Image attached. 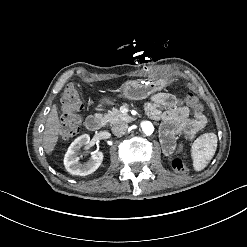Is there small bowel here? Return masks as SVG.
Wrapping results in <instances>:
<instances>
[{"label": "small bowel", "instance_id": "1", "mask_svg": "<svg viewBox=\"0 0 247 247\" xmlns=\"http://www.w3.org/2000/svg\"><path fill=\"white\" fill-rule=\"evenodd\" d=\"M145 109L151 119L163 120L161 137L164 151L168 155L174 148L176 134L181 133L191 140L205 124L202 113H191L182 99L170 93L160 92L152 95Z\"/></svg>", "mask_w": 247, "mask_h": 247}]
</instances>
